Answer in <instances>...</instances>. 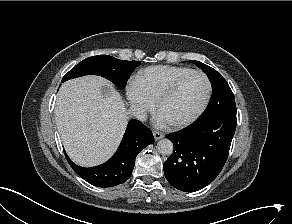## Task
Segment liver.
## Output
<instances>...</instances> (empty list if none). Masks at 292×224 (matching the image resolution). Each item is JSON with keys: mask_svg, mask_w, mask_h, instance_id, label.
<instances>
[{"mask_svg": "<svg viewBox=\"0 0 292 224\" xmlns=\"http://www.w3.org/2000/svg\"><path fill=\"white\" fill-rule=\"evenodd\" d=\"M55 119L69 157L84 167L99 165L110 158L127 124L121 95L107 80L92 75L61 86Z\"/></svg>", "mask_w": 292, "mask_h": 224, "instance_id": "1", "label": "liver"}]
</instances>
